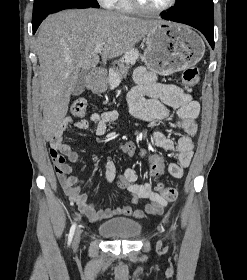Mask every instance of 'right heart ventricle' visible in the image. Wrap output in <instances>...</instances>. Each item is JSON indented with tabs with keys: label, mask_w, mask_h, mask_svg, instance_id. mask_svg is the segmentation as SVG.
I'll use <instances>...</instances> for the list:
<instances>
[{
	"label": "right heart ventricle",
	"mask_w": 247,
	"mask_h": 280,
	"mask_svg": "<svg viewBox=\"0 0 247 280\" xmlns=\"http://www.w3.org/2000/svg\"><path fill=\"white\" fill-rule=\"evenodd\" d=\"M114 6L118 11L124 13H129L133 11V7L131 6L129 0H116Z\"/></svg>",
	"instance_id": "e07e8e85"
}]
</instances>
